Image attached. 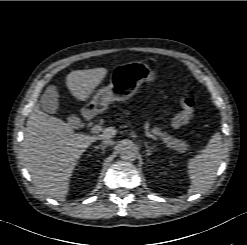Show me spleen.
Instances as JSON below:
<instances>
[{
    "label": "spleen",
    "mask_w": 247,
    "mask_h": 245,
    "mask_svg": "<svg viewBox=\"0 0 247 245\" xmlns=\"http://www.w3.org/2000/svg\"><path fill=\"white\" fill-rule=\"evenodd\" d=\"M222 147L221 134L217 132L200 154L188 160L189 194L200 192L212 183L221 163Z\"/></svg>",
    "instance_id": "1"
}]
</instances>
